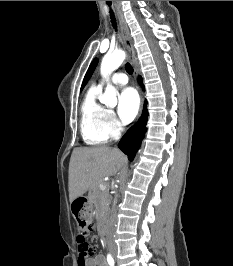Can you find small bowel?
Listing matches in <instances>:
<instances>
[{"instance_id":"c3829d8e","label":"small bowel","mask_w":233,"mask_h":266,"mask_svg":"<svg viewBox=\"0 0 233 266\" xmlns=\"http://www.w3.org/2000/svg\"><path fill=\"white\" fill-rule=\"evenodd\" d=\"M78 266H106V259L102 254H96L85 258L82 264L78 258Z\"/></svg>"}]
</instances>
